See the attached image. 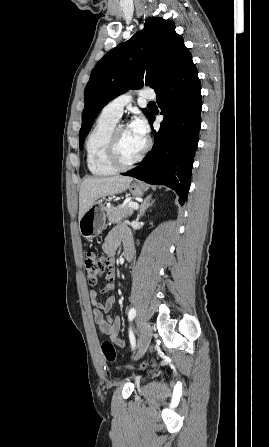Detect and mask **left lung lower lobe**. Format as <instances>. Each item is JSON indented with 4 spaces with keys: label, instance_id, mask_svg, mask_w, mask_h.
<instances>
[{
    "label": "left lung lower lobe",
    "instance_id": "0a47b994",
    "mask_svg": "<svg viewBox=\"0 0 269 447\" xmlns=\"http://www.w3.org/2000/svg\"><path fill=\"white\" fill-rule=\"evenodd\" d=\"M164 115L158 132L153 130L154 146L142 164L123 173L149 184H164L187 200L191 170L201 126V87L198 72L188 49L167 83L156 92ZM152 113L148 120L152 125Z\"/></svg>",
    "mask_w": 269,
    "mask_h": 447
}]
</instances>
